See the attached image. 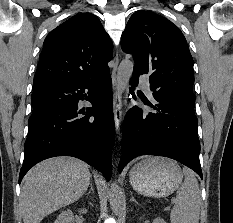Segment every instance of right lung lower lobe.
<instances>
[{
  "mask_svg": "<svg viewBox=\"0 0 233 223\" xmlns=\"http://www.w3.org/2000/svg\"><path fill=\"white\" fill-rule=\"evenodd\" d=\"M83 99L92 107L80 109ZM31 102L19 183L32 166L55 156L79 158L110 180L115 129L109 70L82 82L34 90Z\"/></svg>",
  "mask_w": 233,
  "mask_h": 223,
  "instance_id": "right-lung-lower-lobe-1",
  "label": "right lung lower lobe"
}]
</instances>
